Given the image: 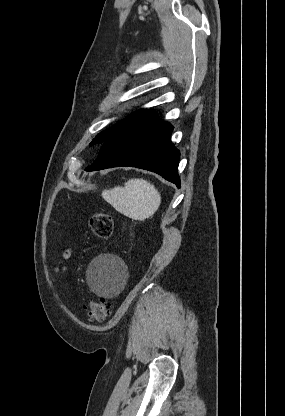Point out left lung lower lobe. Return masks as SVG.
<instances>
[{
	"mask_svg": "<svg viewBox=\"0 0 285 416\" xmlns=\"http://www.w3.org/2000/svg\"><path fill=\"white\" fill-rule=\"evenodd\" d=\"M173 127L154 113L142 116L116 131L102 145L95 162L86 171L133 166L162 175L180 187V153L170 141Z\"/></svg>",
	"mask_w": 285,
	"mask_h": 416,
	"instance_id": "left-lung-lower-lobe-1",
	"label": "left lung lower lobe"
}]
</instances>
